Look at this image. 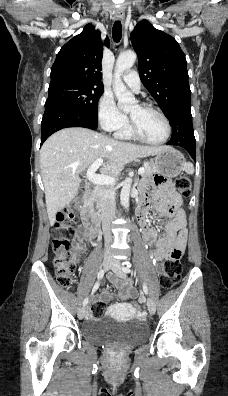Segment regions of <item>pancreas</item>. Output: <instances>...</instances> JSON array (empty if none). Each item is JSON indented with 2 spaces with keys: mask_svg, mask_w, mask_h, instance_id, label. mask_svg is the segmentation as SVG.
<instances>
[{
  "mask_svg": "<svg viewBox=\"0 0 228 396\" xmlns=\"http://www.w3.org/2000/svg\"><path fill=\"white\" fill-rule=\"evenodd\" d=\"M144 169H145V172L142 175L144 178L158 172L155 164H153V163H146L144 165ZM111 192H112V188L109 187V188H106L96 194V202H97L96 208L98 209L99 212L102 211V197H103V195L106 193H111Z\"/></svg>",
  "mask_w": 228,
  "mask_h": 396,
  "instance_id": "1",
  "label": "pancreas"
}]
</instances>
